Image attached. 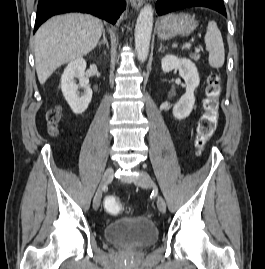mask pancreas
<instances>
[{
  "label": "pancreas",
  "mask_w": 265,
  "mask_h": 269,
  "mask_svg": "<svg viewBox=\"0 0 265 269\" xmlns=\"http://www.w3.org/2000/svg\"><path fill=\"white\" fill-rule=\"evenodd\" d=\"M191 59H193L194 61H198L200 59V55L197 53H192L190 54Z\"/></svg>",
  "instance_id": "pancreas-1"
}]
</instances>
